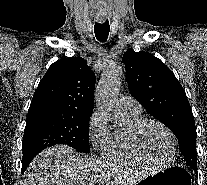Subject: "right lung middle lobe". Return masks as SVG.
Returning <instances> with one entry per match:
<instances>
[{
	"mask_svg": "<svg viewBox=\"0 0 207 185\" xmlns=\"http://www.w3.org/2000/svg\"><path fill=\"white\" fill-rule=\"evenodd\" d=\"M89 120L59 114H28L22 141V173L39 152L55 144H67L78 152L88 153Z\"/></svg>",
	"mask_w": 207,
	"mask_h": 185,
	"instance_id": "obj_1",
	"label": "right lung middle lobe"
}]
</instances>
